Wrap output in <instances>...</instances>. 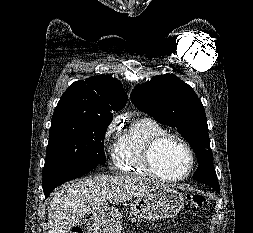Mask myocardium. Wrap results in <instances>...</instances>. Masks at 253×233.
<instances>
[{
  "label": "myocardium",
  "mask_w": 253,
  "mask_h": 233,
  "mask_svg": "<svg viewBox=\"0 0 253 233\" xmlns=\"http://www.w3.org/2000/svg\"><path fill=\"white\" fill-rule=\"evenodd\" d=\"M167 142H174V143L181 145L182 147L185 148V150L187 151V153L189 155V160H190L189 168H188L187 172L182 176H179V177L164 176L157 170V168L155 166V162H154L155 154H156L157 150L163 144H165ZM144 165L147 168V170L151 173L152 176H154L155 178H157L161 181L179 182V181H183L186 178H188L191 175V173L193 172V169L195 166V154H194L192 147L190 146V144L187 141H185L184 139H182L176 135L165 133L163 135H160V136H157V137L151 139L148 142V144L145 148V152H144Z\"/></svg>",
  "instance_id": "1"
}]
</instances>
